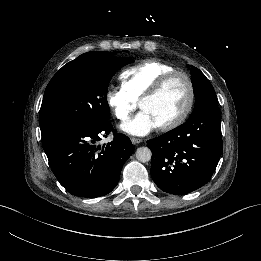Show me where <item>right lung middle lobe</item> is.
<instances>
[{
    "mask_svg": "<svg viewBox=\"0 0 261 261\" xmlns=\"http://www.w3.org/2000/svg\"><path fill=\"white\" fill-rule=\"evenodd\" d=\"M129 58L80 55L64 65L49 82L44 100L49 124L42 139L61 127H92L109 120L108 84Z\"/></svg>",
    "mask_w": 261,
    "mask_h": 261,
    "instance_id": "dd1d6c3e",
    "label": "right lung middle lobe"
}]
</instances>
